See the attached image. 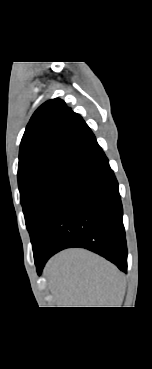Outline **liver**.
<instances>
[{
	"label": "liver",
	"mask_w": 152,
	"mask_h": 369,
	"mask_svg": "<svg viewBox=\"0 0 152 369\" xmlns=\"http://www.w3.org/2000/svg\"><path fill=\"white\" fill-rule=\"evenodd\" d=\"M45 276L58 307H121L126 281L113 264L84 249L52 258Z\"/></svg>",
	"instance_id": "1"
}]
</instances>
